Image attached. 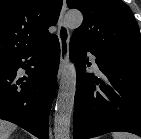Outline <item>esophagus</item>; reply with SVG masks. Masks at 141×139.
Wrapping results in <instances>:
<instances>
[{
  "mask_svg": "<svg viewBox=\"0 0 141 139\" xmlns=\"http://www.w3.org/2000/svg\"><path fill=\"white\" fill-rule=\"evenodd\" d=\"M66 10H67L66 0H63L62 9L57 23L58 26L57 36L60 43V64L58 69V80L61 79L69 62L70 32L65 23Z\"/></svg>",
  "mask_w": 141,
  "mask_h": 139,
  "instance_id": "34e87169",
  "label": "esophagus"
}]
</instances>
